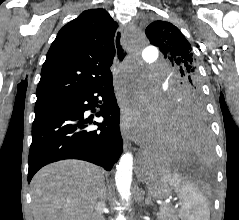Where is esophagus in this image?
I'll list each match as a JSON object with an SVG mask.
<instances>
[{"label": "esophagus", "mask_w": 239, "mask_h": 220, "mask_svg": "<svg viewBox=\"0 0 239 220\" xmlns=\"http://www.w3.org/2000/svg\"><path fill=\"white\" fill-rule=\"evenodd\" d=\"M120 28L122 27L121 25L119 26ZM117 33L119 36L114 37L115 41V47H116V61L114 62L115 68L113 69L112 72V92H121L122 88V83H121V76H122V66L124 65V60L128 57V53L122 49L121 47L124 46V43L122 42L121 34L124 33L123 29H118ZM115 101L118 102V108L121 110V132L124 140V145L126 148L129 147V137L128 134L125 131V123H126V114L124 111L125 107V99H124V94L123 93H116L115 94Z\"/></svg>", "instance_id": "obj_1"}]
</instances>
